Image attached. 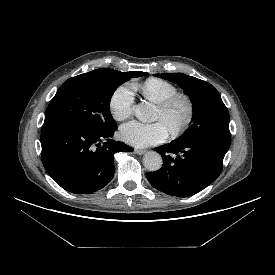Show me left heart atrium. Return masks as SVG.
Wrapping results in <instances>:
<instances>
[{"instance_id": "obj_1", "label": "left heart atrium", "mask_w": 275, "mask_h": 275, "mask_svg": "<svg viewBox=\"0 0 275 275\" xmlns=\"http://www.w3.org/2000/svg\"><path fill=\"white\" fill-rule=\"evenodd\" d=\"M169 135V130L161 121L143 123L131 121L120 129V136L126 143L138 147H148L164 142Z\"/></svg>"}]
</instances>
